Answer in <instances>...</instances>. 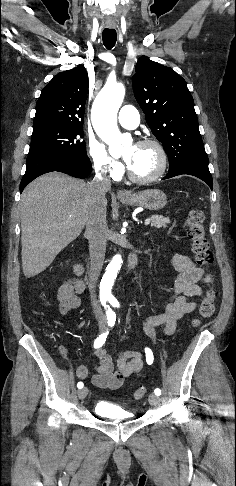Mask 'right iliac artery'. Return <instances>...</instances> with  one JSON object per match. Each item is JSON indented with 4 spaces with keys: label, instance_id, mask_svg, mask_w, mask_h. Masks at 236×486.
<instances>
[{
    "label": "right iliac artery",
    "instance_id": "right-iliac-artery-1",
    "mask_svg": "<svg viewBox=\"0 0 236 486\" xmlns=\"http://www.w3.org/2000/svg\"><path fill=\"white\" fill-rule=\"evenodd\" d=\"M103 304H105V301H102ZM106 315H107V320H108V327H113L114 324H115V321H116V314L115 312L108 306L107 307V311H106ZM107 335H108V329L106 332L102 333L101 335H99L95 342H94V348H100L106 341V338H107ZM77 387L80 389V388H83V383L82 382H78L77 384Z\"/></svg>",
    "mask_w": 236,
    "mask_h": 486
}]
</instances>
